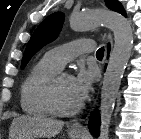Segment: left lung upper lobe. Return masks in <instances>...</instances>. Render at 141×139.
<instances>
[{"label":"left lung upper lobe","instance_id":"1","mask_svg":"<svg viewBox=\"0 0 141 139\" xmlns=\"http://www.w3.org/2000/svg\"><path fill=\"white\" fill-rule=\"evenodd\" d=\"M105 3L108 8L121 13L123 16H126V12L118 0H105ZM63 18L64 15L62 13H53L37 27L26 46L21 63L22 69L38 50L57 37L63 24Z\"/></svg>","mask_w":141,"mask_h":139}]
</instances>
